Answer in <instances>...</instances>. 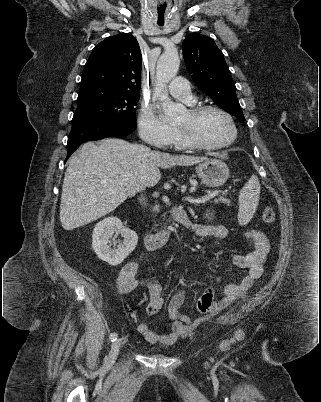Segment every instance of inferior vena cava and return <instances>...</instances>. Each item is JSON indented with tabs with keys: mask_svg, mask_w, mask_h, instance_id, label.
I'll list each match as a JSON object with an SVG mask.
<instances>
[{
	"mask_svg": "<svg viewBox=\"0 0 321 402\" xmlns=\"http://www.w3.org/2000/svg\"><path fill=\"white\" fill-rule=\"evenodd\" d=\"M144 200H145V198L143 197L142 199H140V202H144ZM144 204H145V202H144Z\"/></svg>",
	"mask_w": 321,
	"mask_h": 402,
	"instance_id": "1",
	"label": "inferior vena cava"
}]
</instances>
